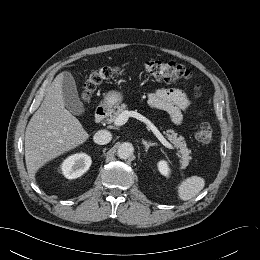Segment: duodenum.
I'll use <instances>...</instances> for the list:
<instances>
[{"label":"duodenum","instance_id":"410a0bca","mask_svg":"<svg viewBox=\"0 0 260 260\" xmlns=\"http://www.w3.org/2000/svg\"><path fill=\"white\" fill-rule=\"evenodd\" d=\"M108 114H109V106H107V105L99 106L96 109V112L94 115V121L96 123H100L108 117Z\"/></svg>","mask_w":260,"mask_h":260}]
</instances>
